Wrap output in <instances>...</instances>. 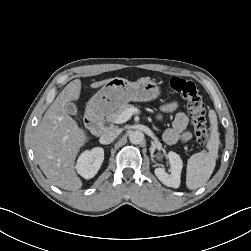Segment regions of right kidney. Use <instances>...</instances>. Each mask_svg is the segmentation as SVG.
<instances>
[{"instance_id":"ca27d5eb","label":"right kidney","mask_w":251,"mask_h":251,"mask_svg":"<svg viewBox=\"0 0 251 251\" xmlns=\"http://www.w3.org/2000/svg\"><path fill=\"white\" fill-rule=\"evenodd\" d=\"M103 160V148L95 147L92 150H86L79 156L76 164V170L83 178L91 179L97 174Z\"/></svg>"}]
</instances>
